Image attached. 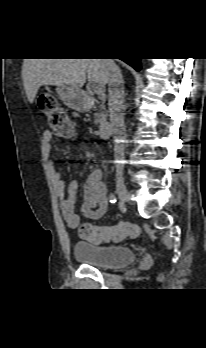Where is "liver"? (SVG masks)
Returning a JSON list of instances; mask_svg holds the SVG:
<instances>
[{"label": "liver", "mask_w": 206, "mask_h": 348, "mask_svg": "<svg viewBox=\"0 0 206 348\" xmlns=\"http://www.w3.org/2000/svg\"><path fill=\"white\" fill-rule=\"evenodd\" d=\"M22 78L28 101L33 103L42 85L80 90L88 79L105 86L108 69L103 59H24Z\"/></svg>", "instance_id": "1"}]
</instances>
